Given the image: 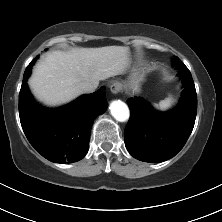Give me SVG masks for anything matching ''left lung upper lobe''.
<instances>
[{
	"instance_id": "obj_1",
	"label": "left lung upper lobe",
	"mask_w": 222,
	"mask_h": 222,
	"mask_svg": "<svg viewBox=\"0 0 222 222\" xmlns=\"http://www.w3.org/2000/svg\"><path fill=\"white\" fill-rule=\"evenodd\" d=\"M180 72L188 70V68L178 59L176 58L175 63L173 64Z\"/></svg>"
}]
</instances>
